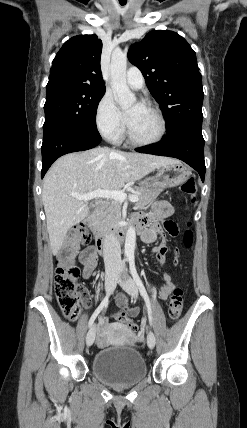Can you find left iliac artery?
I'll return each mask as SVG.
<instances>
[{
    "label": "left iliac artery",
    "instance_id": "1",
    "mask_svg": "<svg viewBox=\"0 0 247 428\" xmlns=\"http://www.w3.org/2000/svg\"><path fill=\"white\" fill-rule=\"evenodd\" d=\"M129 266H130L131 274L134 278V281L136 282V285L138 286V289L140 291V294L145 300L147 312H148V317H149V323L152 326V309H151L150 299H149V296H148L146 289L143 285V282L137 273V270L135 267L134 256L129 257Z\"/></svg>",
    "mask_w": 247,
    "mask_h": 428
}]
</instances>
